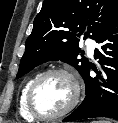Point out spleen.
<instances>
[{
  "mask_svg": "<svg viewBox=\"0 0 118 123\" xmlns=\"http://www.w3.org/2000/svg\"><path fill=\"white\" fill-rule=\"evenodd\" d=\"M92 123H111L110 121L100 120V121H93Z\"/></svg>",
  "mask_w": 118,
  "mask_h": 123,
  "instance_id": "spleen-1",
  "label": "spleen"
}]
</instances>
